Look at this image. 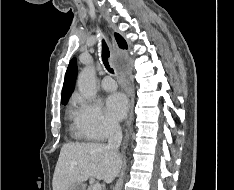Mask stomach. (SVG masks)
I'll list each match as a JSON object with an SVG mask.
<instances>
[{
    "label": "stomach",
    "mask_w": 234,
    "mask_h": 190,
    "mask_svg": "<svg viewBox=\"0 0 234 190\" xmlns=\"http://www.w3.org/2000/svg\"><path fill=\"white\" fill-rule=\"evenodd\" d=\"M68 190H86V186L83 183H75Z\"/></svg>",
    "instance_id": "obj_1"
}]
</instances>
